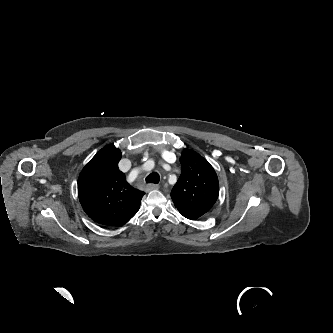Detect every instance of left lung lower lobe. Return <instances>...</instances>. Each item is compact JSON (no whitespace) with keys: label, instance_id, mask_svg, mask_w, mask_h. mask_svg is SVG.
Segmentation results:
<instances>
[{"label":"left lung lower lobe","instance_id":"0a47b994","mask_svg":"<svg viewBox=\"0 0 333 333\" xmlns=\"http://www.w3.org/2000/svg\"><path fill=\"white\" fill-rule=\"evenodd\" d=\"M186 218H188V219H191V220H194V219H196V218H191V217H186Z\"/></svg>","mask_w":333,"mask_h":333}]
</instances>
